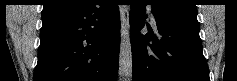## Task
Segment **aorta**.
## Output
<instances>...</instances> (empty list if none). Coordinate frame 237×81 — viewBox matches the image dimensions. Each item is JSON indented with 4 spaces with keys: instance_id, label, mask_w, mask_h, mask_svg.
I'll list each match as a JSON object with an SVG mask.
<instances>
[{
    "instance_id": "aorta-1",
    "label": "aorta",
    "mask_w": 237,
    "mask_h": 81,
    "mask_svg": "<svg viewBox=\"0 0 237 81\" xmlns=\"http://www.w3.org/2000/svg\"><path fill=\"white\" fill-rule=\"evenodd\" d=\"M126 9H122L124 16L122 30H121V41H120V52H119V81H131L132 80V49L130 42L129 28L127 20L125 18Z\"/></svg>"
}]
</instances>
